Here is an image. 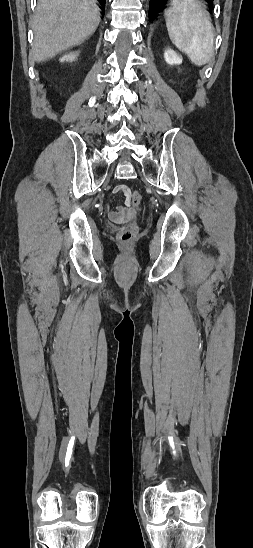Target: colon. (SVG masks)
Returning a JSON list of instances; mask_svg holds the SVG:
<instances>
[{"mask_svg": "<svg viewBox=\"0 0 253 548\" xmlns=\"http://www.w3.org/2000/svg\"><path fill=\"white\" fill-rule=\"evenodd\" d=\"M131 202L134 206H138L142 201V195L135 191L130 196ZM118 240L123 245H130L134 240V230L130 226L123 227L119 234H118Z\"/></svg>", "mask_w": 253, "mask_h": 548, "instance_id": "obj_1", "label": "colon"}]
</instances>
